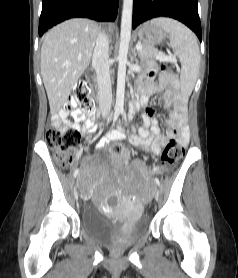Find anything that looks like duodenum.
<instances>
[{
    "instance_id": "1",
    "label": "duodenum",
    "mask_w": 238,
    "mask_h": 278,
    "mask_svg": "<svg viewBox=\"0 0 238 278\" xmlns=\"http://www.w3.org/2000/svg\"><path fill=\"white\" fill-rule=\"evenodd\" d=\"M138 108L137 98H134L130 104V113H133Z\"/></svg>"
}]
</instances>
